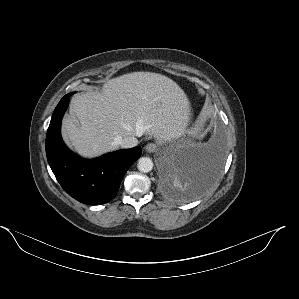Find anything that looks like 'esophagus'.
Returning a JSON list of instances; mask_svg holds the SVG:
<instances>
[{
    "mask_svg": "<svg viewBox=\"0 0 299 299\" xmlns=\"http://www.w3.org/2000/svg\"><path fill=\"white\" fill-rule=\"evenodd\" d=\"M145 150L148 152V153H154L158 150V145L156 143H148L146 146H145Z\"/></svg>",
    "mask_w": 299,
    "mask_h": 299,
    "instance_id": "obj_1",
    "label": "esophagus"
}]
</instances>
